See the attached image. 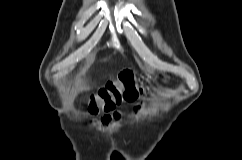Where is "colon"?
Returning a JSON list of instances; mask_svg holds the SVG:
<instances>
[{
	"mask_svg": "<svg viewBox=\"0 0 242 160\" xmlns=\"http://www.w3.org/2000/svg\"><path fill=\"white\" fill-rule=\"evenodd\" d=\"M152 78L150 74L137 77L130 71L122 73L118 80L106 83L92 94L89 111L110 113L124 101H134L139 95V87Z\"/></svg>",
	"mask_w": 242,
	"mask_h": 160,
	"instance_id": "colon-1",
	"label": "colon"
}]
</instances>
